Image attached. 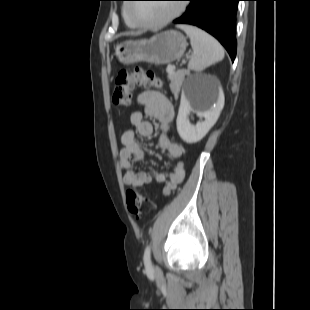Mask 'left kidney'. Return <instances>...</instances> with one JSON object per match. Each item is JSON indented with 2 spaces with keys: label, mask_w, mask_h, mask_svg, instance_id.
<instances>
[{
  "label": "left kidney",
  "mask_w": 310,
  "mask_h": 310,
  "mask_svg": "<svg viewBox=\"0 0 310 310\" xmlns=\"http://www.w3.org/2000/svg\"><path fill=\"white\" fill-rule=\"evenodd\" d=\"M205 84H200L196 91L199 93L204 92ZM224 106V96L220 92L216 106L210 109L201 107L194 102L193 94L191 92H183L181 95L180 107L177 116V131L179 136L187 143H196L203 139L209 130L214 126L218 120L220 113ZM196 113L200 118L205 120L198 122L196 125L190 123L188 116L190 113Z\"/></svg>",
  "instance_id": "obj_1"
}]
</instances>
